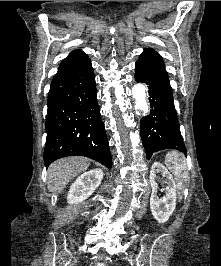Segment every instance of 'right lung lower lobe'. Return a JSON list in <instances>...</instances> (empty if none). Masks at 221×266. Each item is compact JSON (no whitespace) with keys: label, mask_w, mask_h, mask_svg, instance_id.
<instances>
[{"label":"right lung lower lobe","mask_w":221,"mask_h":266,"mask_svg":"<svg viewBox=\"0 0 221 266\" xmlns=\"http://www.w3.org/2000/svg\"><path fill=\"white\" fill-rule=\"evenodd\" d=\"M47 104L45 166L72 155L112 166L90 59L55 75Z\"/></svg>","instance_id":"right-lung-lower-lobe-1"}]
</instances>
